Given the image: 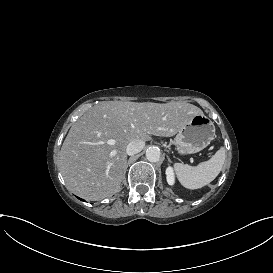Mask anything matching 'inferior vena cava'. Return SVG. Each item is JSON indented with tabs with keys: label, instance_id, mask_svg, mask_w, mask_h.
I'll use <instances>...</instances> for the list:
<instances>
[{
	"label": "inferior vena cava",
	"instance_id": "inferior-vena-cava-1",
	"mask_svg": "<svg viewBox=\"0 0 273 273\" xmlns=\"http://www.w3.org/2000/svg\"><path fill=\"white\" fill-rule=\"evenodd\" d=\"M145 146V142L140 139H134L131 142L128 143L126 147V153L128 155H134L138 152H140Z\"/></svg>",
	"mask_w": 273,
	"mask_h": 273
}]
</instances>
